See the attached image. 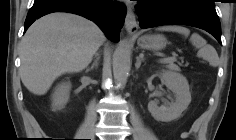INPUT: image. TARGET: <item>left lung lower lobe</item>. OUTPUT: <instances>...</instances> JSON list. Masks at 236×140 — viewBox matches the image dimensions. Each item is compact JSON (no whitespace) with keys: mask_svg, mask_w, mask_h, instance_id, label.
Masks as SVG:
<instances>
[{"mask_svg":"<svg viewBox=\"0 0 236 140\" xmlns=\"http://www.w3.org/2000/svg\"><path fill=\"white\" fill-rule=\"evenodd\" d=\"M136 12L142 29L181 24L204 29L221 43L214 2L206 0H139Z\"/></svg>","mask_w":236,"mask_h":140,"instance_id":"left-lung-lower-lobe-1","label":"left lung lower lobe"}]
</instances>
